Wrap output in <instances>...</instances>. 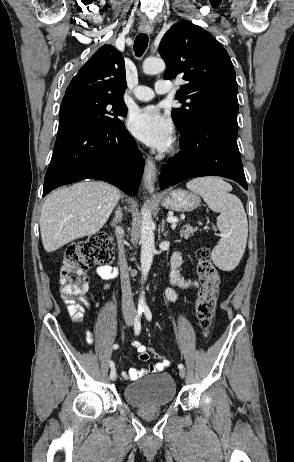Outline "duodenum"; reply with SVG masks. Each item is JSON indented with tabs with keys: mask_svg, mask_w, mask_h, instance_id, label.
Wrapping results in <instances>:
<instances>
[{
	"mask_svg": "<svg viewBox=\"0 0 294 462\" xmlns=\"http://www.w3.org/2000/svg\"><path fill=\"white\" fill-rule=\"evenodd\" d=\"M122 254L124 255V254H125V252H124V251H122Z\"/></svg>",
	"mask_w": 294,
	"mask_h": 462,
	"instance_id": "1",
	"label": "duodenum"
}]
</instances>
